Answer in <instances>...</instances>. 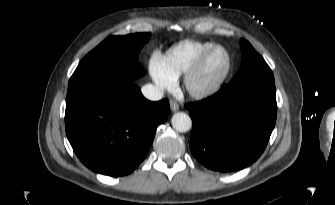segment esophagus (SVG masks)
Wrapping results in <instances>:
<instances>
[{
  "label": "esophagus",
  "mask_w": 335,
  "mask_h": 205,
  "mask_svg": "<svg viewBox=\"0 0 335 205\" xmlns=\"http://www.w3.org/2000/svg\"><path fill=\"white\" fill-rule=\"evenodd\" d=\"M170 109H171V111H173V112L178 111V110H179V104H178L176 101L171 100V101H170Z\"/></svg>",
  "instance_id": "esophagus-1"
}]
</instances>
